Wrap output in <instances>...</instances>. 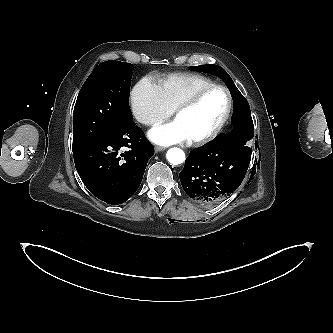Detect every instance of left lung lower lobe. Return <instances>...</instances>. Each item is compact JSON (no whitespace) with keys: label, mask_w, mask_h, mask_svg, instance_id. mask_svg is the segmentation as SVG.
I'll use <instances>...</instances> for the list:
<instances>
[{"label":"left lung lower lobe","mask_w":333,"mask_h":333,"mask_svg":"<svg viewBox=\"0 0 333 333\" xmlns=\"http://www.w3.org/2000/svg\"><path fill=\"white\" fill-rule=\"evenodd\" d=\"M210 144L192 151L179 173L184 191L206 206H213L232 194L242 183L251 156L242 149L247 137L221 134ZM254 167L251 177L254 174Z\"/></svg>","instance_id":"0a47b994"}]
</instances>
